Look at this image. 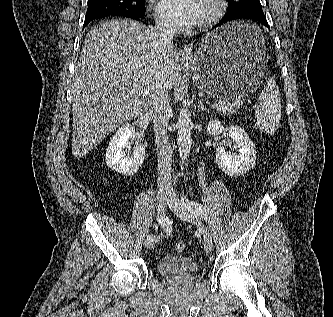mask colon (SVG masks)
Returning <instances> with one entry per match:
<instances>
[{
    "label": "colon",
    "instance_id": "5ec220e1",
    "mask_svg": "<svg viewBox=\"0 0 333 317\" xmlns=\"http://www.w3.org/2000/svg\"><path fill=\"white\" fill-rule=\"evenodd\" d=\"M175 249L178 252H182L185 249V243L183 241H177L175 244Z\"/></svg>",
    "mask_w": 333,
    "mask_h": 317
}]
</instances>
